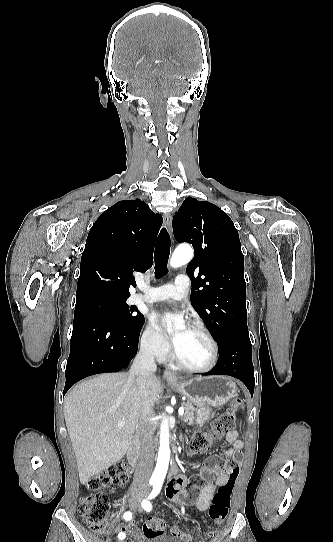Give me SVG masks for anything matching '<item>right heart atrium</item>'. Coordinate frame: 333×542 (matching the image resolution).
<instances>
[{"mask_svg":"<svg viewBox=\"0 0 333 542\" xmlns=\"http://www.w3.org/2000/svg\"><path fill=\"white\" fill-rule=\"evenodd\" d=\"M140 346L142 351L152 358L167 354L169 344L155 320L147 321L140 337Z\"/></svg>","mask_w":333,"mask_h":542,"instance_id":"obj_1","label":"right heart atrium"}]
</instances>
